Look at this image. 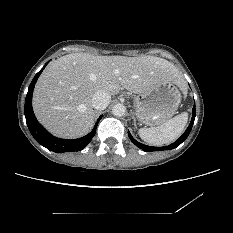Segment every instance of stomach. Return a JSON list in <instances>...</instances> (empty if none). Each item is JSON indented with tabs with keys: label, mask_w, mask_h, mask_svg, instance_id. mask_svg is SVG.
<instances>
[{
	"label": "stomach",
	"mask_w": 233,
	"mask_h": 233,
	"mask_svg": "<svg viewBox=\"0 0 233 233\" xmlns=\"http://www.w3.org/2000/svg\"><path fill=\"white\" fill-rule=\"evenodd\" d=\"M180 102L181 93L176 84H162L134 98L135 115L142 124L160 125L175 114Z\"/></svg>",
	"instance_id": "obj_1"
}]
</instances>
